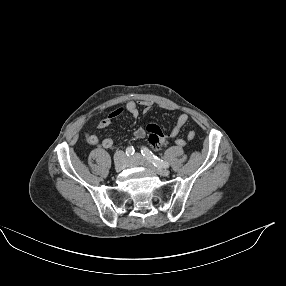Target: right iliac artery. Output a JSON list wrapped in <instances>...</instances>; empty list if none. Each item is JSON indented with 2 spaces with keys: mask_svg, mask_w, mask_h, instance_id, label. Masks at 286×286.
I'll return each instance as SVG.
<instances>
[{
  "mask_svg": "<svg viewBox=\"0 0 286 286\" xmlns=\"http://www.w3.org/2000/svg\"><path fill=\"white\" fill-rule=\"evenodd\" d=\"M134 152H135V150L132 146H130L126 149V155L129 157L132 156L134 154Z\"/></svg>",
  "mask_w": 286,
  "mask_h": 286,
  "instance_id": "obj_1",
  "label": "right iliac artery"
}]
</instances>
